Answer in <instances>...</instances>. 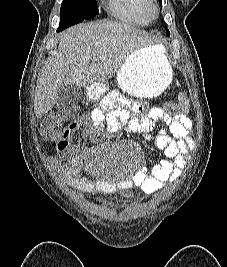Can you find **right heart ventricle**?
<instances>
[{
	"mask_svg": "<svg viewBox=\"0 0 227 267\" xmlns=\"http://www.w3.org/2000/svg\"><path fill=\"white\" fill-rule=\"evenodd\" d=\"M149 0H107L109 13L123 22L145 25L149 22Z\"/></svg>",
	"mask_w": 227,
	"mask_h": 267,
	"instance_id": "1",
	"label": "right heart ventricle"
}]
</instances>
